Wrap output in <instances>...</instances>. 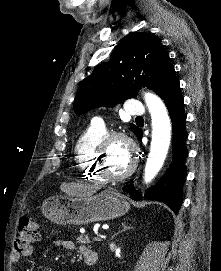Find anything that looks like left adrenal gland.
Listing matches in <instances>:
<instances>
[{"label": "left adrenal gland", "mask_w": 221, "mask_h": 271, "mask_svg": "<svg viewBox=\"0 0 221 271\" xmlns=\"http://www.w3.org/2000/svg\"><path fill=\"white\" fill-rule=\"evenodd\" d=\"M121 227H122V229H120V231H118V233H121V231H125V229H131V223H129V225H127V221H123ZM114 235H117V233H114Z\"/></svg>", "instance_id": "obj_1"}]
</instances>
